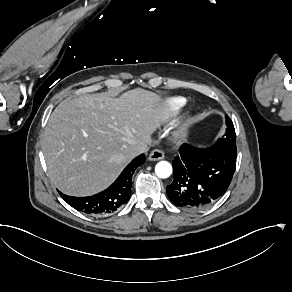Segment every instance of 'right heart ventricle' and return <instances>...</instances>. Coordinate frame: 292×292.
Instances as JSON below:
<instances>
[{
	"mask_svg": "<svg viewBox=\"0 0 292 292\" xmlns=\"http://www.w3.org/2000/svg\"><path fill=\"white\" fill-rule=\"evenodd\" d=\"M186 105V99L183 97H170L167 100V107L170 113L181 110Z\"/></svg>",
	"mask_w": 292,
	"mask_h": 292,
	"instance_id": "1",
	"label": "right heart ventricle"
}]
</instances>
